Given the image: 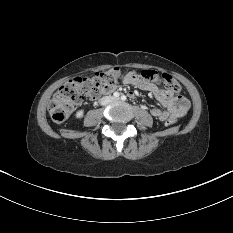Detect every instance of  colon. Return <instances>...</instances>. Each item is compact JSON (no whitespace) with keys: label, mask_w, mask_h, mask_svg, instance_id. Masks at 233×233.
Returning a JSON list of instances; mask_svg holds the SVG:
<instances>
[{"label":"colon","mask_w":233,"mask_h":233,"mask_svg":"<svg viewBox=\"0 0 233 233\" xmlns=\"http://www.w3.org/2000/svg\"><path fill=\"white\" fill-rule=\"evenodd\" d=\"M125 72V70L114 67L96 73L91 78L70 79L58 89L49 104V114L52 120L63 122L84 97L95 98L102 92L111 91ZM139 77L148 83H160L173 94H178L181 90L180 84L168 74L160 75L156 71L148 69L141 71ZM167 123L172 125L175 123V119H168Z\"/></svg>","instance_id":"colon-1"}]
</instances>
